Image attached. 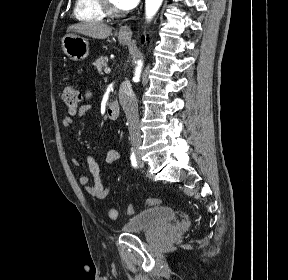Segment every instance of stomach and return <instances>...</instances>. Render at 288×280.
Listing matches in <instances>:
<instances>
[{
  "label": "stomach",
  "instance_id": "1",
  "mask_svg": "<svg viewBox=\"0 0 288 280\" xmlns=\"http://www.w3.org/2000/svg\"><path fill=\"white\" fill-rule=\"evenodd\" d=\"M118 40L122 44H127L129 42L128 38L121 36L118 37ZM62 49L65 55L73 61L83 60L89 55L88 41L85 38L74 34H67L63 37Z\"/></svg>",
  "mask_w": 288,
  "mask_h": 280
}]
</instances>
